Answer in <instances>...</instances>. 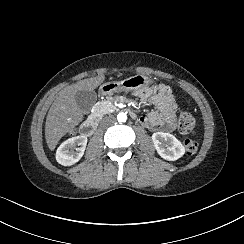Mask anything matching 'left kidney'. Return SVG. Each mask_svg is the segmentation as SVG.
Listing matches in <instances>:
<instances>
[{
  "mask_svg": "<svg viewBox=\"0 0 244 244\" xmlns=\"http://www.w3.org/2000/svg\"><path fill=\"white\" fill-rule=\"evenodd\" d=\"M152 140L158 154L165 160L175 161L185 153L182 143L170 133H153Z\"/></svg>",
  "mask_w": 244,
  "mask_h": 244,
  "instance_id": "obj_1",
  "label": "left kidney"
}]
</instances>
